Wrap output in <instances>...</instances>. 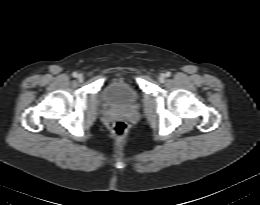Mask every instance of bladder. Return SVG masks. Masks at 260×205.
I'll use <instances>...</instances> for the list:
<instances>
[{"label": "bladder", "mask_w": 260, "mask_h": 205, "mask_svg": "<svg viewBox=\"0 0 260 205\" xmlns=\"http://www.w3.org/2000/svg\"><path fill=\"white\" fill-rule=\"evenodd\" d=\"M101 100L108 107H133L140 100L135 86L124 79H116L104 86Z\"/></svg>", "instance_id": "bladder-1"}]
</instances>
